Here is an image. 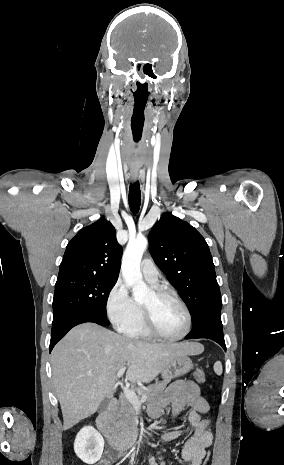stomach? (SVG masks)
<instances>
[{"label": "stomach", "instance_id": "stomach-1", "mask_svg": "<svg viewBox=\"0 0 284 465\" xmlns=\"http://www.w3.org/2000/svg\"><path fill=\"white\" fill-rule=\"evenodd\" d=\"M193 369V363L187 355H179L176 357L164 371H162V375L165 379L166 375H170V377H181V375H186Z\"/></svg>", "mask_w": 284, "mask_h": 465}]
</instances>
